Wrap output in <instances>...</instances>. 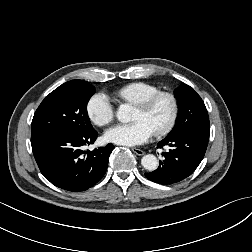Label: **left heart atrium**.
I'll use <instances>...</instances> for the list:
<instances>
[{"mask_svg":"<svg viewBox=\"0 0 252 252\" xmlns=\"http://www.w3.org/2000/svg\"><path fill=\"white\" fill-rule=\"evenodd\" d=\"M155 130L144 120L129 124H116L105 132V140L124 146H135L146 143Z\"/></svg>","mask_w":252,"mask_h":252,"instance_id":"obj_1","label":"left heart atrium"}]
</instances>
